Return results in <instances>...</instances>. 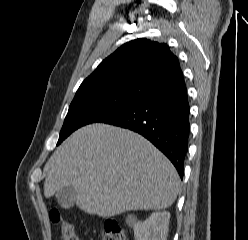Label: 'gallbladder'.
<instances>
[{"mask_svg":"<svg viewBox=\"0 0 248 240\" xmlns=\"http://www.w3.org/2000/svg\"><path fill=\"white\" fill-rule=\"evenodd\" d=\"M76 194V190L72 186H66L59 189L55 197L62 208L70 209L75 204Z\"/></svg>","mask_w":248,"mask_h":240,"instance_id":"1","label":"gallbladder"}]
</instances>
